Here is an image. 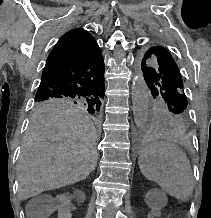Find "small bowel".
<instances>
[{"label": "small bowel", "instance_id": "small-bowel-1", "mask_svg": "<svg viewBox=\"0 0 211 218\" xmlns=\"http://www.w3.org/2000/svg\"><path fill=\"white\" fill-rule=\"evenodd\" d=\"M158 215V212L151 211L149 213V218H154ZM70 213L65 207H60L56 210V218H69Z\"/></svg>", "mask_w": 211, "mask_h": 218}]
</instances>
